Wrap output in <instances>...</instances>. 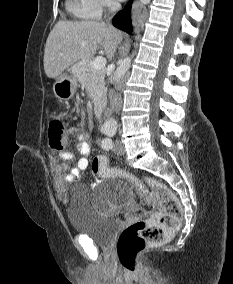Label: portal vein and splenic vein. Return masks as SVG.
Returning a JSON list of instances; mask_svg holds the SVG:
<instances>
[{
  "instance_id": "portal-vein-and-splenic-vein-1",
  "label": "portal vein and splenic vein",
  "mask_w": 233,
  "mask_h": 284,
  "mask_svg": "<svg viewBox=\"0 0 233 284\" xmlns=\"http://www.w3.org/2000/svg\"><path fill=\"white\" fill-rule=\"evenodd\" d=\"M106 65V59L103 57H96L92 62H91V66L92 68L96 69V70H100L103 69Z\"/></svg>"
}]
</instances>
